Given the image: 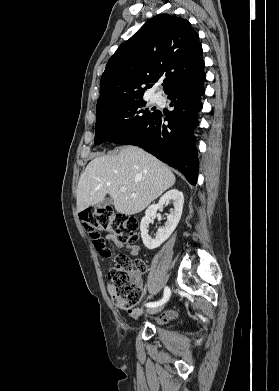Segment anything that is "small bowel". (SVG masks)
Here are the masks:
<instances>
[{"instance_id":"obj_1","label":"small bowel","mask_w":279,"mask_h":391,"mask_svg":"<svg viewBox=\"0 0 279 391\" xmlns=\"http://www.w3.org/2000/svg\"><path fill=\"white\" fill-rule=\"evenodd\" d=\"M106 239L114 241L113 237L111 235H108L106 237ZM114 243L118 247L123 246L121 243H119L117 241H114ZM128 250H129L130 255H132V256H136L139 253V247L137 245L128 246ZM142 313H143V309L140 307H136V308H133L132 310L129 311V316L131 318L137 319L142 315ZM175 316H176V312L174 310H167L158 318V320H159V322H166V321L173 319Z\"/></svg>"}]
</instances>
